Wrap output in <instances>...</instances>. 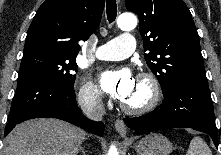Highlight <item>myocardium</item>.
I'll return each mask as SVG.
<instances>
[{
  "label": "myocardium",
  "mask_w": 221,
  "mask_h": 155,
  "mask_svg": "<svg viewBox=\"0 0 221 155\" xmlns=\"http://www.w3.org/2000/svg\"><path fill=\"white\" fill-rule=\"evenodd\" d=\"M137 79L147 84L149 96L143 104L138 106H131L126 103L121 104L122 110L131 115H142L150 112L158 105L161 98V86L154 74L141 72L138 74Z\"/></svg>",
  "instance_id": "myocardium-1"
}]
</instances>
